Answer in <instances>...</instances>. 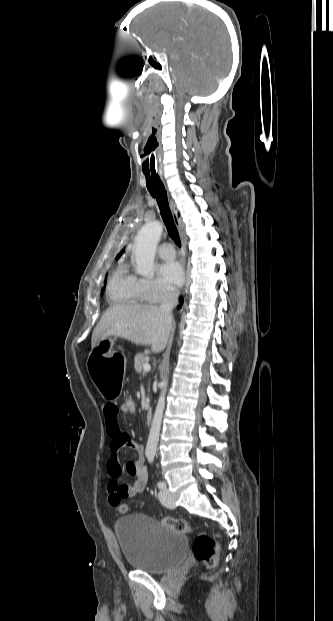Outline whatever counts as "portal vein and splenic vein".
I'll list each match as a JSON object with an SVG mask.
<instances>
[{"label":"portal vein and splenic vein","instance_id":"portal-vein-and-splenic-vein-1","mask_svg":"<svg viewBox=\"0 0 333 621\" xmlns=\"http://www.w3.org/2000/svg\"><path fill=\"white\" fill-rule=\"evenodd\" d=\"M150 369H151L150 364L145 363V364L143 365V370H144V372H147V371H149Z\"/></svg>","mask_w":333,"mask_h":621}]
</instances>
